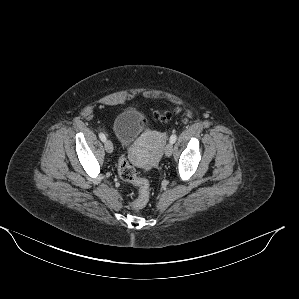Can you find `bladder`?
Listing matches in <instances>:
<instances>
[{
    "label": "bladder",
    "instance_id": "obj_1",
    "mask_svg": "<svg viewBox=\"0 0 299 299\" xmlns=\"http://www.w3.org/2000/svg\"><path fill=\"white\" fill-rule=\"evenodd\" d=\"M145 130L144 119L135 109L122 111L113 122L114 134L123 148L132 144Z\"/></svg>",
    "mask_w": 299,
    "mask_h": 299
}]
</instances>
